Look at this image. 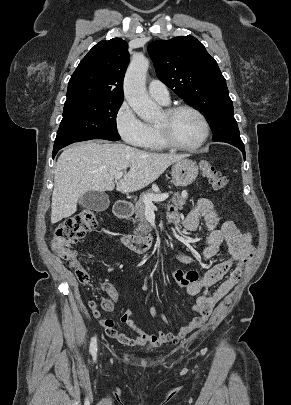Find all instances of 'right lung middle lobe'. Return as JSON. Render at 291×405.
Segmentation results:
<instances>
[{
	"label": "right lung middle lobe",
	"mask_w": 291,
	"mask_h": 405,
	"mask_svg": "<svg viewBox=\"0 0 291 405\" xmlns=\"http://www.w3.org/2000/svg\"><path fill=\"white\" fill-rule=\"evenodd\" d=\"M122 100L66 103L54 142L53 156L63 147L91 139L119 140L116 115Z\"/></svg>",
	"instance_id": "right-lung-middle-lobe-1"
}]
</instances>
